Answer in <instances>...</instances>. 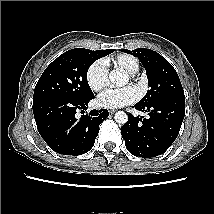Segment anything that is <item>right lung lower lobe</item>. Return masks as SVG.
<instances>
[{
    "instance_id": "98d812e1",
    "label": "right lung lower lobe",
    "mask_w": 214,
    "mask_h": 214,
    "mask_svg": "<svg viewBox=\"0 0 214 214\" xmlns=\"http://www.w3.org/2000/svg\"><path fill=\"white\" fill-rule=\"evenodd\" d=\"M89 98L51 97L33 102V113L41 137L55 152L77 156L88 152L94 145L99 125L109 115L107 109L85 113Z\"/></svg>"
}]
</instances>
